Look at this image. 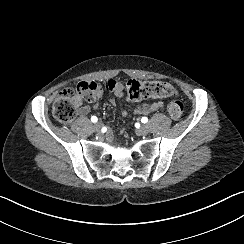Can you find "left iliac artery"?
<instances>
[{"label": "left iliac artery", "mask_w": 244, "mask_h": 244, "mask_svg": "<svg viewBox=\"0 0 244 244\" xmlns=\"http://www.w3.org/2000/svg\"><path fill=\"white\" fill-rule=\"evenodd\" d=\"M141 121H142V123H147L148 122V118L147 117H142Z\"/></svg>", "instance_id": "44dca946"}]
</instances>
